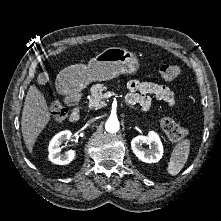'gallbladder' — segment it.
I'll return each instance as SVG.
<instances>
[{
    "mask_svg": "<svg viewBox=\"0 0 221 221\" xmlns=\"http://www.w3.org/2000/svg\"><path fill=\"white\" fill-rule=\"evenodd\" d=\"M47 80V75L46 74H43L41 73L39 76H38V82L41 83V84H44Z\"/></svg>",
    "mask_w": 221,
    "mask_h": 221,
    "instance_id": "bac80fb5",
    "label": "gallbladder"
}]
</instances>
